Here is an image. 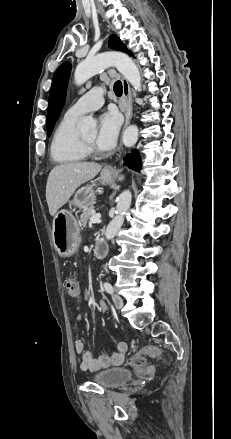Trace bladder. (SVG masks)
I'll return each instance as SVG.
<instances>
[{
    "label": "bladder",
    "instance_id": "obj_1",
    "mask_svg": "<svg viewBox=\"0 0 231 439\" xmlns=\"http://www.w3.org/2000/svg\"><path fill=\"white\" fill-rule=\"evenodd\" d=\"M132 378V373L126 368H111L97 373L93 382L104 388H117Z\"/></svg>",
    "mask_w": 231,
    "mask_h": 439
}]
</instances>
